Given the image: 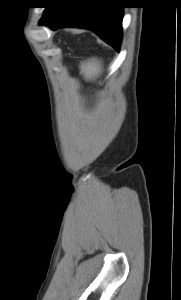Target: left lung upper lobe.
<instances>
[{
	"label": "left lung upper lobe",
	"mask_w": 181,
	"mask_h": 300,
	"mask_svg": "<svg viewBox=\"0 0 181 300\" xmlns=\"http://www.w3.org/2000/svg\"><path fill=\"white\" fill-rule=\"evenodd\" d=\"M57 0H53L52 2L55 3ZM49 9V7L46 8L45 12ZM45 14V13H44Z\"/></svg>",
	"instance_id": "left-lung-upper-lobe-1"
}]
</instances>
